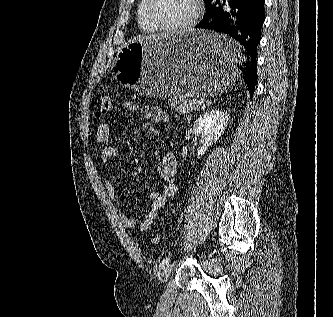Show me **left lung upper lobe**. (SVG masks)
Returning a JSON list of instances; mask_svg holds the SVG:
<instances>
[{
	"instance_id": "left-lung-upper-lobe-1",
	"label": "left lung upper lobe",
	"mask_w": 333,
	"mask_h": 317,
	"mask_svg": "<svg viewBox=\"0 0 333 317\" xmlns=\"http://www.w3.org/2000/svg\"><path fill=\"white\" fill-rule=\"evenodd\" d=\"M203 1L205 3V6H207L211 2V0H203Z\"/></svg>"
}]
</instances>
